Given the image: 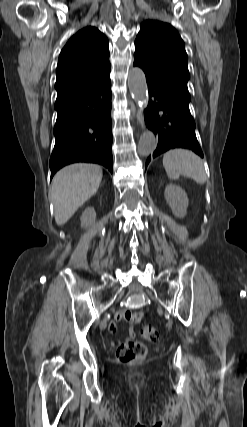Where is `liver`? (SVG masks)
Returning a JSON list of instances; mask_svg holds the SVG:
<instances>
[{"label": "liver", "instance_id": "6515ba94", "mask_svg": "<svg viewBox=\"0 0 247 427\" xmlns=\"http://www.w3.org/2000/svg\"><path fill=\"white\" fill-rule=\"evenodd\" d=\"M102 177L100 166L87 163L71 164L55 174L50 198L57 225L65 224L97 192Z\"/></svg>", "mask_w": 247, "mask_h": 427}]
</instances>
